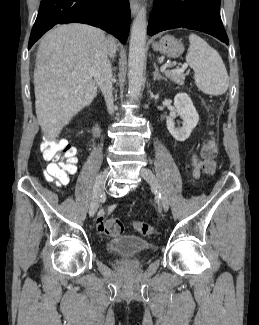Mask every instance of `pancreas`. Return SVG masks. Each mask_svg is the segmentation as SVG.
I'll list each match as a JSON object with an SVG mask.
<instances>
[{
	"mask_svg": "<svg viewBox=\"0 0 259 325\" xmlns=\"http://www.w3.org/2000/svg\"><path fill=\"white\" fill-rule=\"evenodd\" d=\"M166 77L178 85L184 84L185 74L182 72H166Z\"/></svg>",
	"mask_w": 259,
	"mask_h": 325,
	"instance_id": "obj_1",
	"label": "pancreas"
}]
</instances>
